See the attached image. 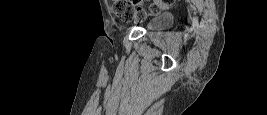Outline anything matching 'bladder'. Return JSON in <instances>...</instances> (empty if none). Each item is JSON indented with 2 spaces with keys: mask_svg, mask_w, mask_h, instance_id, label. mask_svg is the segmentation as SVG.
<instances>
[{
  "mask_svg": "<svg viewBox=\"0 0 267 115\" xmlns=\"http://www.w3.org/2000/svg\"><path fill=\"white\" fill-rule=\"evenodd\" d=\"M172 24V16L168 13H161L152 17L147 23V30L156 32L167 29Z\"/></svg>",
  "mask_w": 267,
  "mask_h": 115,
  "instance_id": "bladder-1",
  "label": "bladder"
}]
</instances>
